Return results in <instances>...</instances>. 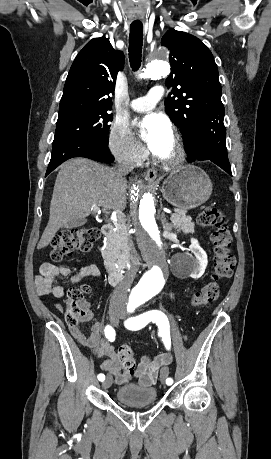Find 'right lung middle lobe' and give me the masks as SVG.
Instances as JSON below:
<instances>
[{
    "label": "right lung middle lobe",
    "instance_id": "right-lung-middle-lobe-1",
    "mask_svg": "<svg viewBox=\"0 0 271 459\" xmlns=\"http://www.w3.org/2000/svg\"><path fill=\"white\" fill-rule=\"evenodd\" d=\"M113 116L107 111L76 110L59 112L53 146L72 139L107 142L108 123Z\"/></svg>",
    "mask_w": 271,
    "mask_h": 459
}]
</instances>
